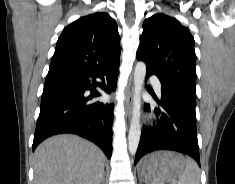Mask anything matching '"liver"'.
<instances>
[{"instance_id": "obj_1", "label": "liver", "mask_w": 235, "mask_h": 184, "mask_svg": "<svg viewBox=\"0 0 235 184\" xmlns=\"http://www.w3.org/2000/svg\"><path fill=\"white\" fill-rule=\"evenodd\" d=\"M105 156L72 134L44 140L34 152V184H101Z\"/></svg>"}]
</instances>
